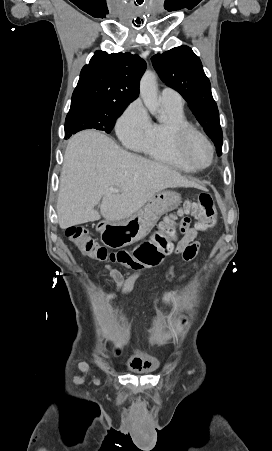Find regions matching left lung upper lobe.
I'll return each instance as SVG.
<instances>
[{
	"label": "left lung upper lobe",
	"instance_id": "left-lung-upper-lobe-1",
	"mask_svg": "<svg viewBox=\"0 0 272 451\" xmlns=\"http://www.w3.org/2000/svg\"><path fill=\"white\" fill-rule=\"evenodd\" d=\"M156 71L167 86L177 90L222 154L223 134L211 85L199 57L188 46L175 47L151 58Z\"/></svg>",
	"mask_w": 272,
	"mask_h": 451
}]
</instances>
